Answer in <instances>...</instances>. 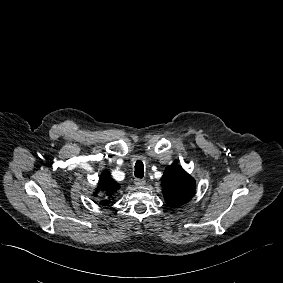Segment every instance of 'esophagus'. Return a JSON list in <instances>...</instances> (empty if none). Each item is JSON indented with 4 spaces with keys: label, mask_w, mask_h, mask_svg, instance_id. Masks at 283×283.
I'll return each instance as SVG.
<instances>
[{
    "label": "esophagus",
    "mask_w": 283,
    "mask_h": 283,
    "mask_svg": "<svg viewBox=\"0 0 283 283\" xmlns=\"http://www.w3.org/2000/svg\"><path fill=\"white\" fill-rule=\"evenodd\" d=\"M146 183V181L144 179H140V178H135L134 179V184L136 186H144Z\"/></svg>",
    "instance_id": "34e87169"
}]
</instances>
